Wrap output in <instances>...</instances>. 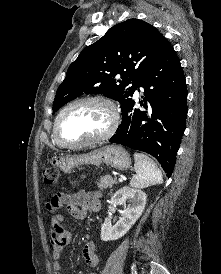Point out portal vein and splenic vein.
Here are the masks:
<instances>
[{"label": "portal vein and splenic vein", "instance_id": "18ae733b", "mask_svg": "<svg viewBox=\"0 0 221 274\" xmlns=\"http://www.w3.org/2000/svg\"><path fill=\"white\" fill-rule=\"evenodd\" d=\"M122 181H123V178H122V177H120V178H119V182H122Z\"/></svg>", "mask_w": 221, "mask_h": 274}]
</instances>
